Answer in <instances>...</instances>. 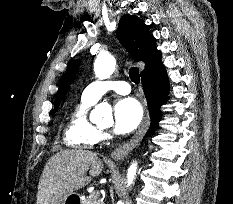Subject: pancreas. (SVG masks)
Masks as SVG:
<instances>
[{"instance_id": "cf45deb5", "label": "pancreas", "mask_w": 233, "mask_h": 204, "mask_svg": "<svg viewBox=\"0 0 233 204\" xmlns=\"http://www.w3.org/2000/svg\"><path fill=\"white\" fill-rule=\"evenodd\" d=\"M81 204H103L98 201V197H93L91 194L86 196L85 199L81 201Z\"/></svg>"}]
</instances>
